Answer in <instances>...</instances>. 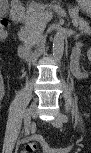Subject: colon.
Returning a JSON list of instances; mask_svg holds the SVG:
<instances>
[{"label": "colon", "instance_id": "5ec220e1", "mask_svg": "<svg viewBox=\"0 0 91 153\" xmlns=\"http://www.w3.org/2000/svg\"><path fill=\"white\" fill-rule=\"evenodd\" d=\"M5 27H6V23L2 22L1 23V28L5 29ZM38 145L40 147H42L43 149H46V150L49 149L48 144H47L46 140L44 139V141H39L38 140V144L36 142L27 144L26 147H25V153H34L37 150Z\"/></svg>", "mask_w": 91, "mask_h": 153}]
</instances>
